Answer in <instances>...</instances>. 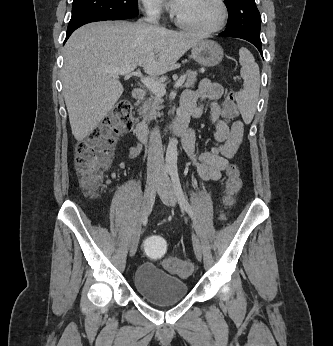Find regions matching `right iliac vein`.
<instances>
[{"label":"right iliac vein","instance_id":"1","mask_svg":"<svg viewBox=\"0 0 333 346\" xmlns=\"http://www.w3.org/2000/svg\"><path fill=\"white\" fill-rule=\"evenodd\" d=\"M160 179V176H154L150 183L147 185L145 193H144V197H143V202H142V206H141V211L138 217V221L136 223L135 229L133 231L132 234V238H131V243H130V256H134L136 251H137V247H138V243H139V239H140V235H141V228L142 225L146 219V216L148 215L153 202H154V196H155V192L157 189V183Z\"/></svg>","mask_w":333,"mask_h":346}]
</instances>
